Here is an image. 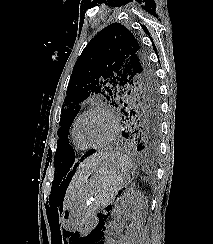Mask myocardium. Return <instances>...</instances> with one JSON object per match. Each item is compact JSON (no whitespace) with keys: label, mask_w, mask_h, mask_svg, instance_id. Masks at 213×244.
<instances>
[{"label":"myocardium","mask_w":213,"mask_h":244,"mask_svg":"<svg viewBox=\"0 0 213 244\" xmlns=\"http://www.w3.org/2000/svg\"><path fill=\"white\" fill-rule=\"evenodd\" d=\"M93 112H101L103 113L110 121L111 124V131L109 136L101 143L95 144V145H88L81 141V139L78 137L77 134V128L80 123V121L88 114ZM119 131V123L115 116L113 115L112 111L109 109V107L105 105H97L87 108L85 111H83L78 118L75 120L72 128V135L76 142L83 148V149H101L109 145L117 136Z\"/></svg>","instance_id":"f54148a6"}]
</instances>
